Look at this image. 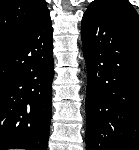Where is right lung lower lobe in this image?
Returning <instances> with one entry per match:
<instances>
[{"mask_svg": "<svg viewBox=\"0 0 139 150\" xmlns=\"http://www.w3.org/2000/svg\"><path fill=\"white\" fill-rule=\"evenodd\" d=\"M53 28L47 14L0 41V150H47L54 76Z\"/></svg>", "mask_w": 139, "mask_h": 150, "instance_id": "obj_1", "label": "right lung lower lobe"}]
</instances>
